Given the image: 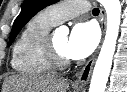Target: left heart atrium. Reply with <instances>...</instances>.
<instances>
[{
	"instance_id": "obj_1",
	"label": "left heart atrium",
	"mask_w": 127,
	"mask_h": 92,
	"mask_svg": "<svg viewBox=\"0 0 127 92\" xmlns=\"http://www.w3.org/2000/svg\"><path fill=\"white\" fill-rule=\"evenodd\" d=\"M99 41V31L92 22L77 23L67 41L66 53L72 59H82L90 55Z\"/></svg>"
}]
</instances>
